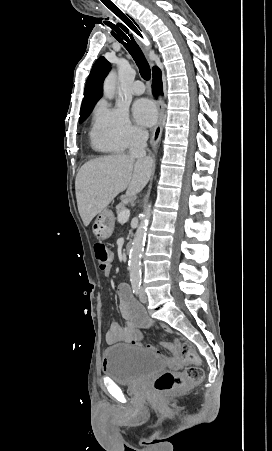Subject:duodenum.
<instances>
[{
    "label": "duodenum",
    "mask_w": 272,
    "mask_h": 451,
    "mask_svg": "<svg viewBox=\"0 0 272 451\" xmlns=\"http://www.w3.org/2000/svg\"><path fill=\"white\" fill-rule=\"evenodd\" d=\"M131 249H132V243H128V244L126 245V252L129 254L130 251H131Z\"/></svg>",
    "instance_id": "1"
}]
</instances>
